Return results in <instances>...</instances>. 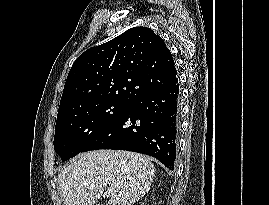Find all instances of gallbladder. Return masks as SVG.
<instances>
[{"mask_svg":"<svg viewBox=\"0 0 269 205\" xmlns=\"http://www.w3.org/2000/svg\"><path fill=\"white\" fill-rule=\"evenodd\" d=\"M97 205H103L102 203H100V204H97Z\"/></svg>","mask_w":269,"mask_h":205,"instance_id":"gallbladder-1","label":"gallbladder"}]
</instances>
